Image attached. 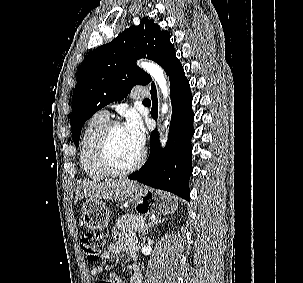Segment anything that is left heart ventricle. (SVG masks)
Here are the masks:
<instances>
[{
  "instance_id": "b2bd125f",
  "label": "left heart ventricle",
  "mask_w": 303,
  "mask_h": 283,
  "mask_svg": "<svg viewBox=\"0 0 303 283\" xmlns=\"http://www.w3.org/2000/svg\"><path fill=\"white\" fill-rule=\"evenodd\" d=\"M140 151L133 144L123 126L117 127L113 131L110 140V152L113 162L118 167L123 168L133 164Z\"/></svg>"
}]
</instances>
